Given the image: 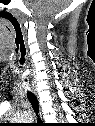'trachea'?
I'll return each instance as SVG.
<instances>
[{
  "instance_id": "1",
  "label": "trachea",
  "mask_w": 95,
  "mask_h": 126,
  "mask_svg": "<svg viewBox=\"0 0 95 126\" xmlns=\"http://www.w3.org/2000/svg\"><path fill=\"white\" fill-rule=\"evenodd\" d=\"M24 57L22 56L21 57V60H20V64L23 65L24 64ZM27 97L32 105V108L34 110V112L36 113V115L38 116V113H39V103H38V100H37V97L30 91L27 92ZM38 123H42L41 119L39 118L38 116Z\"/></svg>"
}]
</instances>
